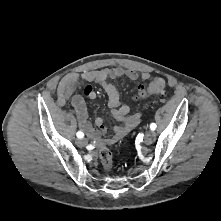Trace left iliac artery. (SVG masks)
I'll list each match as a JSON object with an SVG mask.
<instances>
[{
  "mask_svg": "<svg viewBox=\"0 0 221 221\" xmlns=\"http://www.w3.org/2000/svg\"><path fill=\"white\" fill-rule=\"evenodd\" d=\"M156 127H157V125H156L155 123H151V124H150V129H151V130H155Z\"/></svg>",
  "mask_w": 221,
  "mask_h": 221,
  "instance_id": "1",
  "label": "left iliac artery"
}]
</instances>
